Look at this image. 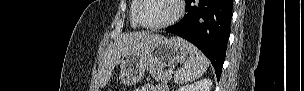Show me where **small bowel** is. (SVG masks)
Wrapping results in <instances>:
<instances>
[{
  "mask_svg": "<svg viewBox=\"0 0 304 91\" xmlns=\"http://www.w3.org/2000/svg\"><path fill=\"white\" fill-rule=\"evenodd\" d=\"M137 91H168V88L162 84H145Z\"/></svg>",
  "mask_w": 304,
  "mask_h": 91,
  "instance_id": "small-bowel-1",
  "label": "small bowel"
}]
</instances>
